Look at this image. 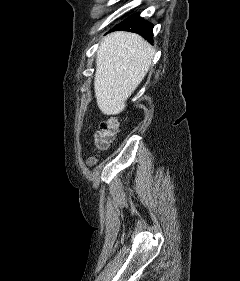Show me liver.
<instances>
[{
  "label": "liver",
  "mask_w": 240,
  "mask_h": 281,
  "mask_svg": "<svg viewBox=\"0 0 240 281\" xmlns=\"http://www.w3.org/2000/svg\"><path fill=\"white\" fill-rule=\"evenodd\" d=\"M155 49L140 35L117 31L102 39L97 51L94 90L105 115H117L147 74Z\"/></svg>",
  "instance_id": "obj_1"
}]
</instances>
